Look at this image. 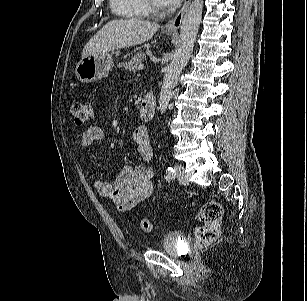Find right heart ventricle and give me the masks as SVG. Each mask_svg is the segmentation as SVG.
Listing matches in <instances>:
<instances>
[{"mask_svg":"<svg viewBox=\"0 0 307 301\" xmlns=\"http://www.w3.org/2000/svg\"><path fill=\"white\" fill-rule=\"evenodd\" d=\"M112 11L123 18L145 19L149 15L144 0H110Z\"/></svg>","mask_w":307,"mask_h":301,"instance_id":"e07e8e85","label":"right heart ventricle"}]
</instances>
